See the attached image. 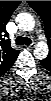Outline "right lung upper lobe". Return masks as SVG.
<instances>
[{"label": "right lung upper lobe", "mask_w": 51, "mask_h": 101, "mask_svg": "<svg viewBox=\"0 0 51 101\" xmlns=\"http://www.w3.org/2000/svg\"><path fill=\"white\" fill-rule=\"evenodd\" d=\"M20 1L0 2V74H4L15 62L19 51L10 46L6 24Z\"/></svg>", "instance_id": "1"}]
</instances>
